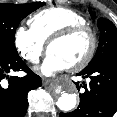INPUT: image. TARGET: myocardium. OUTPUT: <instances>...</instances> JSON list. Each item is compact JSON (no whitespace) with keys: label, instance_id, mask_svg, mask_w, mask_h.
I'll use <instances>...</instances> for the list:
<instances>
[{"label":"myocardium","instance_id":"1","mask_svg":"<svg viewBox=\"0 0 117 117\" xmlns=\"http://www.w3.org/2000/svg\"><path fill=\"white\" fill-rule=\"evenodd\" d=\"M79 34H87L90 38V45L86 55L80 61L69 67L73 71H80L84 69L93 60L98 44L97 35L94 29L87 24L74 25L53 35L47 44V52H49V49L53 44L66 41Z\"/></svg>","mask_w":117,"mask_h":117}]
</instances>
